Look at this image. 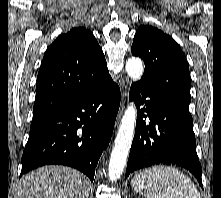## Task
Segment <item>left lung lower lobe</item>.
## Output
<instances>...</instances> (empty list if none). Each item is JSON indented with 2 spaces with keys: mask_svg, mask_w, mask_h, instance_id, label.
I'll list each match as a JSON object with an SVG mask.
<instances>
[{
  "mask_svg": "<svg viewBox=\"0 0 221 198\" xmlns=\"http://www.w3.org/2000/svg\"><path fill=\"white\" fill-rule=\"evenodd\" d=\"M133 99L139 109L125 178L144 167L174 164L188 169L203 188L192 117L184 115L153 88L140 82L131 86L130 100ZM141 105H144L142 109ZM145 112L149 124L144 120Z\"/></svg>",
  "mask_w": 221,
  "mask_h": 198,
  "instance_id": "0a47b994",
  "label": "left lung lower lobe"
}]
</instances>
